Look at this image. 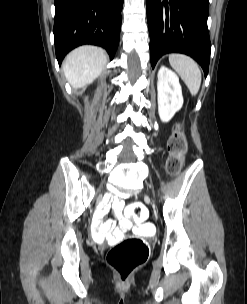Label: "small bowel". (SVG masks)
<instances>
[{
    "mask_svg": "<svg viewBox=\"0 0 247 304\" xmlns=\"http://www.w3.org/2000/svg\"><path fill=\"white\" fill-rule=\"evenodd\" d=\"M121 206L122 202L120 200L109 196L99 205L92 223V238L94 241L114 243L122 239L124 233L131 228L130 221L120 218L119 210ZM111 207L116 211V216L120 218L119 227H115V221L112 219L103 221V217Z\"/></svg>",
    "mask_w": 247,
    "mask_h": 304,
    "instance_id": "small-bowel-1",
    "label": "small bowel"
}]
</instances>
